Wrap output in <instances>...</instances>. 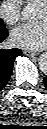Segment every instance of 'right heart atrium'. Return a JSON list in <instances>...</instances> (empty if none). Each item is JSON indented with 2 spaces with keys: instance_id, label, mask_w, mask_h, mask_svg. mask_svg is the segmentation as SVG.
I'll use <instances>...</instances> for the list:
<instances>
[{
  "instance_id": "1",
  "label": "right heart atrium",
  "mask_w": 47,
  "mask_h": 129,
  "mask_svg": "<svg viewBox=\"0 0 47 129\" xmlns=\"http://www.w3.org/2000/svg\"><path fill=\"white\" fill-rule=\"evenodd\" d=\"M22 0H2L0 18L9 26L16 25L21 19Z\"/></svg>"
}]
</instances>
